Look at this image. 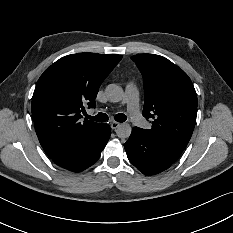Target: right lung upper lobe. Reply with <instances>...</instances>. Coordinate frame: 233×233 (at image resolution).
I'll return each instance as SVG.
<instances>
[{"instance_id": "right-lung-upper-lobe-1", "label": "right lung upper lobe", "mask_w": 233, "mask_h": 233, "mask_svg": "<svg viewBox=\"0 0 233 233\" xmlns=\"http://www.w3.org/2000/svg\"><path fill=\"white\" fill-rule=\"evenodd\" d=\"M118 54L78 53L60 58L39 78L32 98L36 134L52 158L97 134L103 124L85 120L101 83L121 60Z\"/></svg>"}]
</instances>
